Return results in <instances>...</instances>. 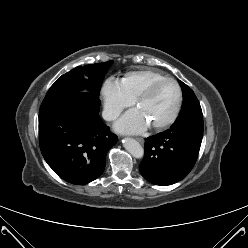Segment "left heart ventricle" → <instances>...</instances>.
<instances>
[{
    "label": "left heart ventricle",
    "instance_id": "left-heart-ventricle-1",
    "mask_svg": "<svg viewBox=\"0 0 248 248\" xmlns=\"http://www.w3.org/2000/svg\"><path fill=\"white\" fill-rule=\"evenodd\" d=\"M177 98L176 86L172 82H163L155 87L150 96L138 105V108L149 123H157L171 115L175 109Z\"/></svg>",
    "mask_w": 248,
    "mask_h": 248
}]
</instances>
